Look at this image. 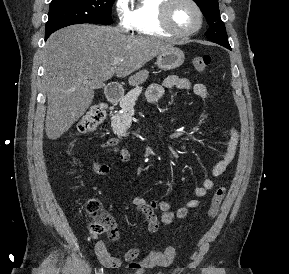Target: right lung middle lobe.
Listing matches in <instances>:
<instances>
[{"label":"right lung middle lobe","instance_id":"1","mask_svg":"<svg viewBox=\"0 0 289 274\" xmlns=\"http://www.w3.org/2000/svg\"><path fill=\"white\" fill-rule=\"evenodd\" d=\"M115 0H52L45 38L73 24H112L111 7Z\"/></svg>","mask_w":289,"mask_h":274}]
</instances>
